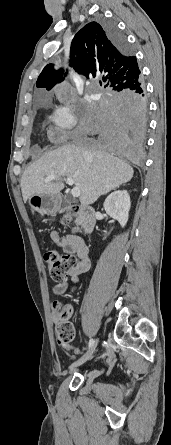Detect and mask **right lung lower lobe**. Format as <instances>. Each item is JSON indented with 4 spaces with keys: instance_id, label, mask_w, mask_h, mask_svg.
<instances>
[{
    "instance_id": "right-lung-lower-lobe-1",
    "label": "right lung lower lobe",
    "mask_w": 171,
    "mask_h": 445,
    "mask_svg": "<svg viewBox=\"0 0 171 445\" xmlns=\"http://www.w3.org/2000/svg\"><path fill=\"white\" fill-rule=\"evenodd\" d=\"M110 41L121 51L129 47L111 22L102 23ZM83 132L98 149L132 163L142 160L147 122L143 80L127 90L112 91L89 106L83 115Z\"/></svg>"
}]
</instances>
